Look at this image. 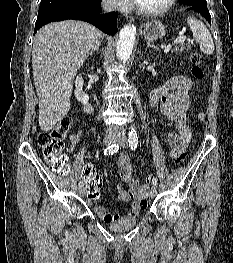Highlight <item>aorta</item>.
I'll return each instance as SVG.
<instances>
[{
	"instance_id": "aorta-1",
	"label": "aorta",
	"mask_w": 233,
	"mask_h": 263,
	"mask_svg": "<svg viewBox=\"0 0 233 263\" xmlns=\"http://www.w3.org/2000/svg\"><path fill=\"white\" fill-rule=\"evenodd\" d=\"M135 35L136 28L134 25L128 24L121 29L116 45V55L120 61L129 60L135 43Z\"/></svg>"
}]
</instances>
